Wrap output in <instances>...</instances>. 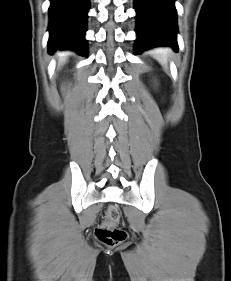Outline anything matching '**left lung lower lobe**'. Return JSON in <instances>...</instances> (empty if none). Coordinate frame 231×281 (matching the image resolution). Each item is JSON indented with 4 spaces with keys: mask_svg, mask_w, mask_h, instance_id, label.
<instances>
[{
    "mask_svg": "<svg viewBox=\"0 0 231 281\" xmlns=\"http://www.w3.org/2000/svg\"><path fill=\"white\" fill-rule=\"evenodd\" d=\"M174 2L175 0H135V53L158 46H169L177 51Z\"/></svg>",
    "mask_w": 231,
    "mask_h": 281,
    "instance_id": "1",
    "label": "left lung lower lobe"
}]
</instances>
